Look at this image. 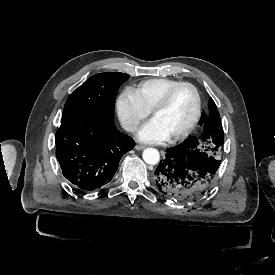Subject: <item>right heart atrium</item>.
<instances>
[{"mask_svg": "<svg viewBox=\"0 0 275 275\" xmlns=\"http://www.w3.org/2000/svg\"><path fill=\"white\" fill-rule=\"evenodd\" d=\"M117 111L123 127L128 132H134L150 114L135 92L130 89L124 90L119 96Z\"/></svg>", "mask_w": 275, "mask_h": 275, "instance_id": "d8ad5b80", "label": "right heart atrium"}]
</instances>
